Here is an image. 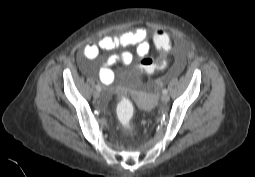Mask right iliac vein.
Listing matches in <instances>:
<instances>
[{
  "instance_id": "right-iliac-vein-1",
  "label": "right iliac vein",
  "mask_w": 255,
  "mask_h": 177,
  "mask_svg": "<svg viewBox=\"0 0 255 177\" xmlns=\"http://www.w3.org/2000/svg\"><path fill=\"white\" fill-rule=\"evenodd\" d=\"M99 96H100V92H99V91H95L94 94H93V97H94L95 99H98Z\"/></svg>"
}]
</instances>
